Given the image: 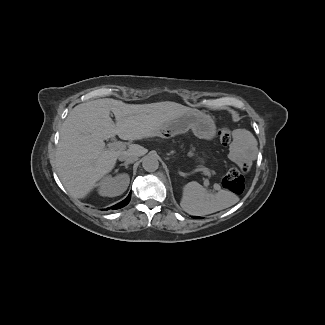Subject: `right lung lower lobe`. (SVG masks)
<instances>
[{
	"label": "right lung lower lobe",
	"mask_w": 325,
	"mask_h": 325,
	"mask_svg": "<svg viewBox=\"0 0 325 325\" xmlns=\"http://www.w3.org/2000/svg\"><path fill=\"white\" fill-rule=\"evenodd\" d=\"M130 199H131V193L127 196L126 199H124L123 201L119 202L118 204H116V205H114V206H112L110 208H107V209H111V208L112 209H119V208H122V207L126 206L129 203Z\"/></svg>",
	"instance_id": "obj_1"
}]
</instances>
